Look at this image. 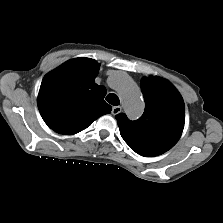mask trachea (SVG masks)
Listing matches in <instances>:
<instances>
[{
  "label": "trachea",
  "mask_w": 223,
  "mask_h": 223,
  "mask_svg": "<svg viewBox=\"0 0 223 223\" xmlns=\"http://www.w3.org/2000/svg\"><path fill=\"white\" fill-rule=\"evenodd\" d=\"M106 101L114 106H117L120 104L118 96L116 94H112V93L107 95Z\"/></svg>",
  "instance_id": "obj_1"
}]
</instances>
